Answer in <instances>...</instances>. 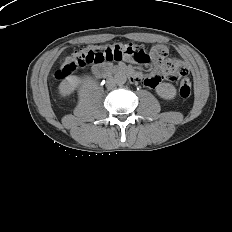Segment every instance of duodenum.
I'll return each mask as SVG.
<instances>
[{
    "instance_id": "410a0bca",
    "label": "duodenum",
    "mask_w": 232,
    "mask_h": 232,
    "mask_svg": "<svg viewBox=\"0 0 232 232\" xmlns=\"http://www.w3.org/2000/svg\"><path fill=\"white\" fill-rule=\"evenodd\" d=\"M111 70L110 66L107 65H95L92 68V74L95 78L101 79L105 74H107ZM116 73L121 74V75H126L129 77V79L133 82H136L139 80V75L136 74L135 72L127 69V68H117L115 70Z\"/></svg>"
}]
</instances>
